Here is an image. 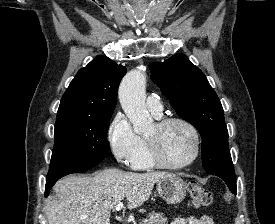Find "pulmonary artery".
<instances>
[{
	"instance_id": "e3ab8cb5",
	"label": "pulmonary artery",
	"mask_w": 275,
	"mask_h": 224,
	"mask_svg": "<svg viewBox=\"0 0 275 224\" xmlns=\"http://www.w3.org/2000/svg\"><path fill=\"white\" fill-rule=\"evenodd\" d=\"M146 105L148 110L153 113L154 115L161 116L163 106L161 103V100L158 96L156 95H149L147 97Z\"/></svg>"
}]
</instances>
